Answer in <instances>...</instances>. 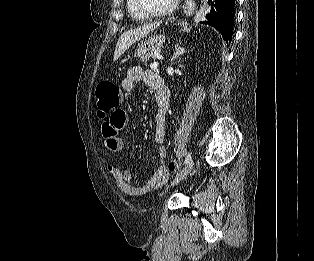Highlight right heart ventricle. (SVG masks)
I'll use <instances>...</instances> for the list:
<instances>
[{
	"instance_id": "obj_1",
	"label": "right heart ventricle",
	"mask_w": 314,
	"mask_h": 261,
	"mask_svg": "<svg viewBox=\"0 0 314 261\" xmlns=\"http://www.w3.org/2000/svg\"><path fill=\"white\" fill-rule=\"evenodd\" d=\"M126 7L130 17L134 20L144 21L149 18L138 10L135 0H126Z\"/></svg>"
}]
</instances>
